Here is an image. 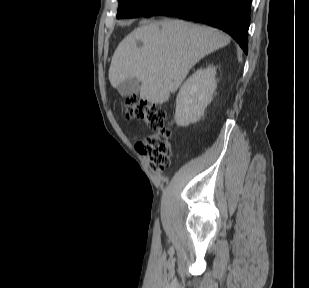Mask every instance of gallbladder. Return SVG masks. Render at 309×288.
Wrapping results in <instances>:
<instances>
[{"label":"gallbladder","mask_w":309,"mask_h":288,"mask_svg":"<svg viewBox=\"0 0 309 288\" xmlns=\"http://www.w3.org/2000/svg\"><path fill=\"white\" fill-rule=\"evenodd\" d=\"M117 90L119 94L123 97L130 96L133 93H137L140 90V82L133 78V79H126L125 81L121 82Z\"/></svg>","instance_id":"obj_1"}]
</instances>
